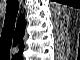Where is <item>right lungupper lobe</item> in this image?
<instances>
[{
	"label": "right lung upper lobe",
	"instance_id": "right-lung-upper-lobe-1",
	"mask_svg": "<svg viewBox=\"0 0 80 60\" xmlns=\"http://www.w3.org/2000/svg\"><path fill=\"white\" fill-rule=\"evenodd\" d=\"M25 26H26V21L24 18V15L20 16L17 22L16 30H15V36H14V45L17 43H20V51L19 53L21 54L24 48L23 45V36H24V31H25Z\"/></svg>",
	"mask_w": 80,
	"mask_h": 60
}]
</instances>
